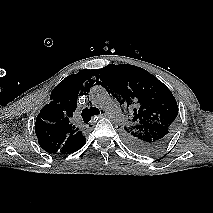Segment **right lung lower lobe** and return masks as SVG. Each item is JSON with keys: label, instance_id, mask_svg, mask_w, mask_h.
Segmentation results:
<instances>
[{"label": "right lung lower lobe", "instance_id": "obj_1", "mask_svg": "<svg viewBox=\"0 0 213 213\" xmlns=\"http://www.w3.org/2000/svg\"><path fill=\"white\" fill-rule=\"evenodd\" d=\"M85 143H86V139H85L76 149L72 150V151L69 152L68 154L73 153V152L79 150L81 147H83V146L85 145Z\"/></svg>", "mask_w": 213, "mask_h": 213}]
</instances>
